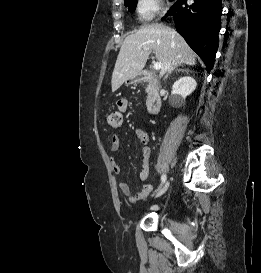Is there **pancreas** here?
<instances>
[{
	"label": "pancreas",
	"instance_id": "pancreas-1",
	"mask_svg": "<svg viewBox=\"0 0 261 273\" xmlns=\"http://www.w3.org/2000/svg\"><path fill=\"white\" fill-rule=\"evenodd\" d=\"M150 88H151V86H148V87L146 88V91L148 92V91L150 90Z\"/></svg>",
	"mask_w": 261,
	"mask_h": 273
}]
</instances>
